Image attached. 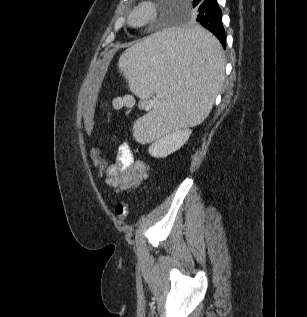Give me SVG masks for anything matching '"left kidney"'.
<instances>
[{"label":"left kidney","instance_id":"1","mask_svg":"<svg viewBox=\"0 0 307 317\" xmlns=\"http://www.w3.org/2000/svg\"><path fill=\"white\" fill-rule=\"evenodd\" d=\"M191 129H176L159 138L149 146V154L156 158H162L180 149L189 139Z\"/></svg>","mask_w":307,"mask_h":317}]
</instances>
